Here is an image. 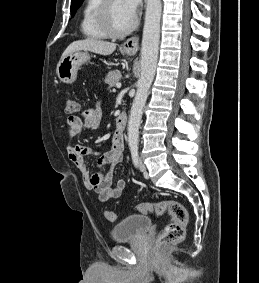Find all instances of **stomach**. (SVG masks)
Segmentation results:
<instances>
[{
    "mask_svg": "<svg viewBox=\"0 0 259 283\" xmlns=\"http://www.w3.org/2000/svg\"><path fill=\"white\" fill-rule=\"evenodd\" d=\"M128 55L132 52L127 51ZM87 51H75L62 58L57 65V76L64 83H73L77 78V73L81 65L90 60Z\"/></svg>",
    "mask_w": 259,
    "mask_h": 283,
    "instance_id": "0dacf381",
    "label": "stomach"
}]
</instances>
